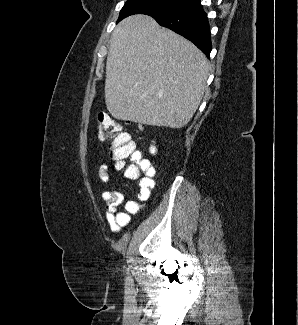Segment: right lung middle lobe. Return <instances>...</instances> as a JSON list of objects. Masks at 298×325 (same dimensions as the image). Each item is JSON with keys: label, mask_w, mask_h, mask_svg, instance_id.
Segmentation results:
<instances>
[{"label": "right lung middle lobe", "mask_w": 298, "mask_h": 325, "mask_svg": "<svg viewBox=\"0 0 298 325\" xmlns=\"http://www.w3.org/2000/svg\"><path fill=\"white\" fill-rule=\"evenodd\" d=\"M194 0H128L120 11L118 22L133 14L157 16L176 11Z\"/></svg>", "instance_id": "obj_1"}]
</instances>
